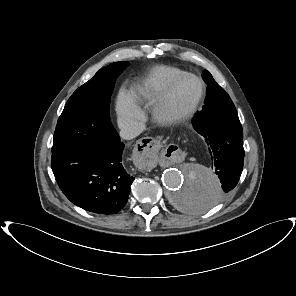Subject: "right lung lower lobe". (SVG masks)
<instances>
[{"label":"right lung lower lobe","instance_id":"right-lung-lower-lobe-1","mask_svg":"<svg viewBox=\"0 0 296 296\" xmlns=\"http://www.w3.org/2000/svg\"><path fill=\"white\" fill-rule=\"evenodd\" d=\"M112 135L111 142L52 154L51 168L64 195L96 214L119 212L127 203L134 180L122 165L124 144L116 131Z\"/></svg>","mask_w":296,"mask_h":296}]
</instances>
